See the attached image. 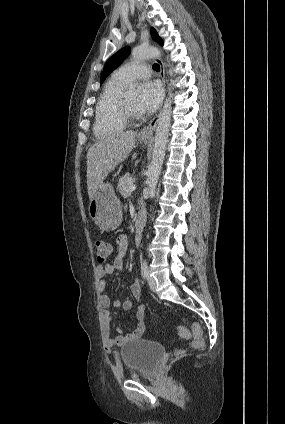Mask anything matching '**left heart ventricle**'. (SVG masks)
I'll list each match as a JSON object with an SVG mask.
<instances>
[{
	"label": "left heart ventricle",
	"mask_w": 285,
	"mask_h": 424,
	"mask_svg": "<svg viewBox=\"0 0 285 424\" xmlns=\"http://www.w3.org/2000/svg\"><path fill=\"white\" fill-rule=\"evenodd\" d=\"M124 98H125L126 102L129 104V106H130V107H131L134 111L138 112V111H137V108H136V104H137V100H138L137 95H129V96H126V97H124Z\"/></svg>",
	"instance_id": "1"
}]
</instances>
